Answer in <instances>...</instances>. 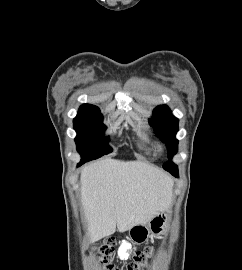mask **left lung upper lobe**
Masks as SVG:
<instances>
[{
  "label": "left lung upper lobe",
  "instance_id": "left-lung-upper-lobe-1",
  "mask_svg": "<svg viewBox=\"0 0 242 270\" xmlns=\"http://www.w3.org/2000/svg\"><path fill=\"white\" fill-rule=\"evenodd\" d=\"M149 123L161 141L166 144L168 158L171 160L178 150V140L175 138L178 132V119L171 114L166 105H160L154 109L153 117ZM163 168L178 177V167L172 161L165 163Z\"/></svg>",
  "mask_w": 242,
  "mask_h": 270
}]
</instances>
